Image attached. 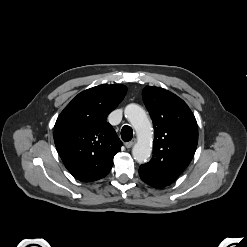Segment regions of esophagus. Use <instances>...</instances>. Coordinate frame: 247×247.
I'll use <instances>...</instances> for the list:
<instances>
[{"label":"esophagus","instance_id":"obj_1","mask_svg":"<svg viewBox=\"0 0 247 247\" xmlns=\"http://www.w3.org/2000/svg\"><path fill=\"white\" fill-rule=\"evenodd\" d=\"M136 143V140L133 139L130 142L125 143L126 148H131Z\"/></svg>","mask_w":247,"mask_h":247}]
</instances>
